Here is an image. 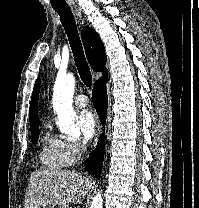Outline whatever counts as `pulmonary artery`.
<instances>
[{
	"instance_id": "e3ab8cb5",
	"label": "pulmonary artery",
	"mask_w": 199,
	"mask_h": 208,
	"mask_svg": "<svg viewBox=\"0 0 199 208\" xmlns=\"http://www.w3.org/2000/svg\"><path fill=\"white\" fill-rule=\"evenodd\" d=\"M74 105L76 107H86L89 105V99L84 94L77 95L74 98Z\"/></svg>"
}]
</instances>
